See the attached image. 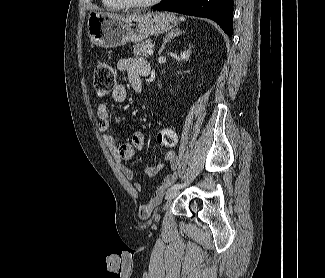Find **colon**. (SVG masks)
<instances>
[{
  "instance_id": "1",
  "label": "colon",
  "mask_w": 325,
  "mask_h": 278,
  "mask_svg": "<svg viewBox=\"0 0 325 278\" xmlns=\"http://www.w3.org/2000/svg\"><path fill=\"white\" fill-rule=\"evenodd\" d=\"M116 84V75L113 67L108 63H99L94 69L93 88L100 97L108 95ZM158 142L167 148L175 146L176 138L174 131L170 128H162L157 133ZM146 213V210L144 211Z\"/></svg>"
}]
</instances>
